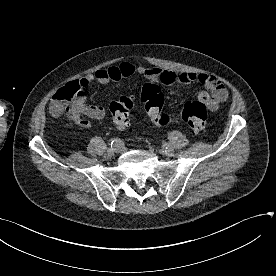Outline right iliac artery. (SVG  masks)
I'll use <instances>...</instances> for the list:
<instances>
[{"label":"right iliac artery","instance_id":"1","mask_svg":"<svg viewBox=\"0 0 276 276\" xmlns=\"http://www.w3.org/2000/svg\"><path fill=\"white\" fill-rule=\"evenodd\" d=\"M112 147H123V143L120 139H114L111 142V148Z\"/></svg>","mask_w":276,"mask_h":276}]
</instances>
